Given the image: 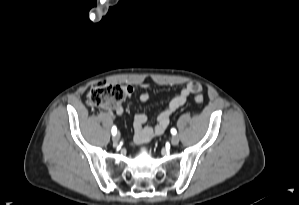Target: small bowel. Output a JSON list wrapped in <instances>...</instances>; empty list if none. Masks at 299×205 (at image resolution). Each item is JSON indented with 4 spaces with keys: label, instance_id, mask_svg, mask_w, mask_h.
Listing matches in <instances>:
<instances>
[{
    "label": "small bowel",
    "instance_id": "1",
    "mask_svg": "<svg viewBox=\"0 0 299 205\" xmlns=\"http://www.w3.org/2000/svg\"><path fill=\"white\" fill-rule=\"evenodd\" d=\"M146 85H144L145 87ZM127 95L132 96L134 93V89L132 86H126ZM201 85L198 82H189L187 83L179 93L173 97L166 108L162 110L157 118L156 124L154 126L147 125L148 116L144 113H137L134 116L133 120V129H134V141L137 144H146L150 142L154 137L163 134L169 126L171 116L173 113L182 107L188 97L191 94H195L200 92ZM141 103L148 102L151 99V95L149 93H142L138 97ZM114 111L117 115H122L124 109L122 105H119L114 108Z\"/></svg>",
    "mask_w": 299,
    "mask_h": 205
}]
</instances>
